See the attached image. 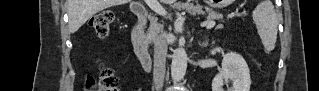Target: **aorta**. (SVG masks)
<instances>
[{"mask_svg":"<svg viewBox=\"0 0 319 91\" xmlns=\"http://www.w3.org/2000/svg\"><path fill=\"white\" fill-rule=\"evenodd\" d=\"M188 56L185 49L180 46L174 51L172 56L171 77L174 83L183 79L186 73Z\"/></svg>","mask_w":319,"mask_h":91,"instance_id":"762f6f07","label":"aorta"}]
</instances>
